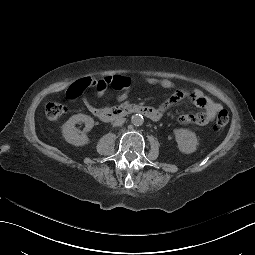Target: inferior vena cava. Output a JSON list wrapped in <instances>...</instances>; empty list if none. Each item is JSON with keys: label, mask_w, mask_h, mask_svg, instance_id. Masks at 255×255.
<instances>
[{"label": "inferior vena cava", "mask_w": 255, "mask_h": 255, "mask_svg": "<svg viewBox=\"0 0 255 255\" xmlns=\"http://www.w3.org/2000/svg\"><path fill=\"white\" fill-rule=\"evenodd\" d=\"M125 118L119 117L113 121V126H121L125 122Z\"/></svg>", "instance_id": "602c4592"}]
</instances>
